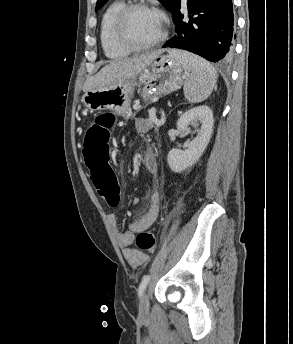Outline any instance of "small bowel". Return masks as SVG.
Segmentation results:
<instances>
[{
  "mask_svg": "<svg viewBox=\"0 0 293 344\" xmlns=\"http://www.w3.org/2000/svg\"><path fill=\"white\" fill-rule=\"evenodd\" d=\"M121 125V124H120ZM151 123L146 119H138L136 121V128L141 132H145L150 129ZM151 158V162L149 164L144 163L146 169L151 174L158 173V164L154 158V154L151 150H147L146 153ZM159 213V193L158 190L155 188L149 197V208L146 214L139 220L134 221L131 225L129 230L123 231L118 227L117 217L115 214L109 215V220L114 228L115 236L120 246L122 253L130 264L131 267L137 268L148 260V255L138 251L135 248H132L131 245L133 243V235L136 232L143 231L148 229L157 219Z\"/></svg>",
  "mask_w": 293,
  "mask_h": 344,
  "instance_id": "small-bowel-1",
  "label": "small bowel"
}]
</instances>
